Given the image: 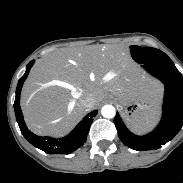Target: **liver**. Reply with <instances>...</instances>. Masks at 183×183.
Instances as JSON below:
<instances>
[{
	"label": "liver",
	"instance_id": "liver-1",
	"mask_svg": "<svg viewBox=\"0 0 183 183\" xmlns=\"http://www.w3.org/2000/svg\"><path fill=\"white\" fill-rule=\"evenodd\" d=\"M108 91L123 99L143 97L158 104L162 87L140 75L122 47L65 48L34 65L22 89L21 107L31 131L62 135ZM87 92L94 96L90 108L80 103Z\"/></svg>",
	"mask_w": 183,
	"mask_h": 183
}]
</instances>
